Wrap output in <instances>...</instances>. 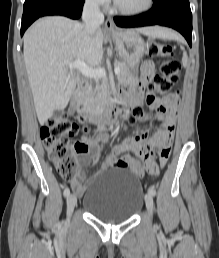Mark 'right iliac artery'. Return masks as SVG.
<instances>
[{"mask_svg": "<svg viewBox=\"0 0 219 258\" xmlns=\"http://www.w3.org/2000/svg\"><path fill=\"white\" fill-rule=\"evenodd\" d=\"M63 194H64L65 197H68V195L70 194V189H69L68 187H66V188L64 189Z\"/></svg>", "mask_w": 219, "mask_h": 258, "instance_id": "82829eb1", "label": "right iliac artery"}]
</instances>
